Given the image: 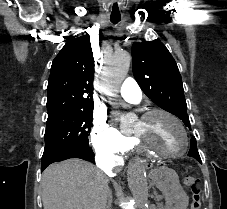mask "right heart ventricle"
<instances>
[{"mask_svg":"<svg viewBox=\"0 0 227 209\" xmlns=\"http://www.w3.org/2000/svg\"><path fill=\"white\" fill-rule=\"evenodd\" d=\"M132 147H133V144H132V142H131V141H129V145H128V147H127V149H126V151H125V152L130 151V150L132 149Z\"/></svg>","mask_w":227,"mask_h":209,"instance_id":"right-heart-ventricle-1","label":"right heart ventricle"}]
</instances>
